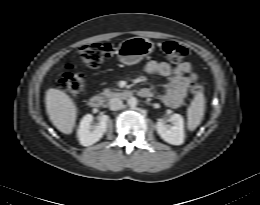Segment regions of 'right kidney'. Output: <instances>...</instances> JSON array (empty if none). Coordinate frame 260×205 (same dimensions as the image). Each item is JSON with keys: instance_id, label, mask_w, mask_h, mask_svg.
Instances as JSON below:
<instances>
[{"instance_id": "right-kidney-1", "label": "right kidney", "mask_w": 260, "mask_h": 205, "mask_svg": "<svg viewBox=\"0 0 260 205\" xmlns=\"http://www.w3.org/2000/svg\"><path fill=\"white\" fill-rule=\"evenodd\" d=\"M108 119L109 117L107 115L101 116L99 124L92 130L91 123L93 121V116L91 114L85 115L82 118L78 129L80 144L83 146H91L98 142L107 130Z\"/></svg>"}]
</instances>
